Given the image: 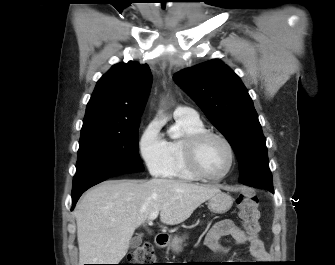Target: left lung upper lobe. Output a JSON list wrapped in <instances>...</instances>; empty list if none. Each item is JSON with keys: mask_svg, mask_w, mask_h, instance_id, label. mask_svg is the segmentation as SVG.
I'll list each match as a JSON object with an SVG mask.
<instances>
[{"mask_svg": "<svg viewBox=\"0 0 335 265\" xmlns=\"http://www.w3.org/2000/svg\"><path fill=\"white\" fill-rule=\"evenodd\" d=\"M173 78L232 146L240 182L273 193L266 140L240 78L218 59L183 69Z\"/></svg>", "mask_w": 335, "mask_h": 265, "instance_id": "5c2ea615", "label": "left lung upper lobe"}]
</instances>
